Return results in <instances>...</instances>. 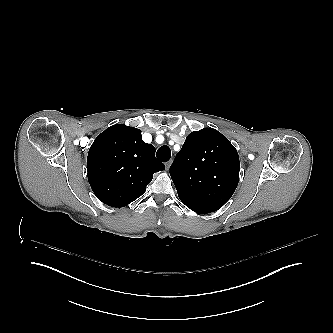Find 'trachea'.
<instances>
[{
    "mask_svg": "<svg viewBox=\"0 0 333 333\" xmlns=\"http://www.w3.org/2000/svg\"><path fill=\"white\" fill-rule=\"evenodd\" d=\"M157 158L162 162H167L171 157V150L168 146H162L156 153Z\"/></svg>",
    "mask_w": 333,
    "mask_h": 333,
    "instance_id": "1",
    "label": "trachea"
}]
</instances>
